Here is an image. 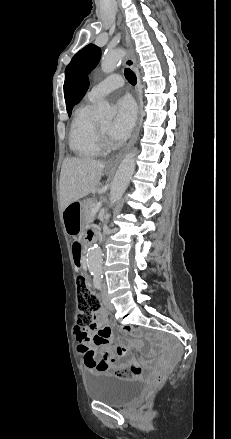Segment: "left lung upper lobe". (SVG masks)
Instances as JSON below:
<instances>
[{"label":"left lung upper lobe","instance_id":"left-lung-upper-lobe-1","mask_svg":"<svg viewBox=\"0 0 231 439\" xmlns=\"http://www.w3.org/2000/svg\"><path fill=\"white\" fill-rule=\"evenodd\" d=\"M101 49L89 44L77 52L65 70L64 97L68 115H71L76 93L84 78L98 64Z\"/></svg>","mask_w":231,"mask_h":439}]
</instances>
